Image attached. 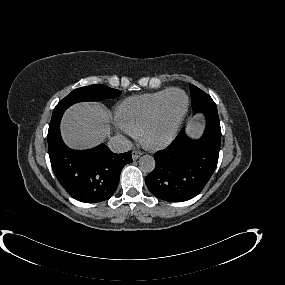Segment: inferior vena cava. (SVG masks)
I'll list each match as a JSON object with an SVG mask.
<instances>
[{"mask_svg":"<svg viewBox=\"0 0 285 285\" xmlns=\"http://www.w3.org/2000/svg\"><path fill=\"white\" fill-rule=\"evenodd\" d=\"M108 147L114 153H124L132 149V143L123 135H116L110 138Z\"/></svg>","mask_w":285,"mask_h":285,"instance_id":"obj_1","label":"inferior vena cava"}]
</instances>
